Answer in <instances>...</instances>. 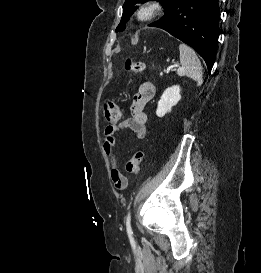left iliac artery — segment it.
I'll return each mask as SVG.
<instances>
[{
    "instance_id": "left-iliac-artery-1",
    "label": "left iliac artery",
    "mask_w": 261,
    "mask_h": 273,
    "mask_svg": "<svg viewBox=\"0 0 261 273\" xmlns=\"http://www.w3.org/2000/svg\"><path fill=\"white\" fill-rule=\"evenodd\" d=\"M126 229H127V232L129 234H132V228H131V215H130V212L128 213L127 215V218H126Z\"/></svg>"
}]
</instances>
